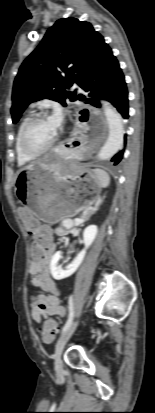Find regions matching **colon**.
<instances>
[{"instance_id": "obj_1", "label": "colon", "mask_w": 155, "mask_h": 413, "mask_svg": "<svg viewBox=\"0 0 155 413\" xmlns=\"http://www.w3.org/2000/svg\"><path fill=\"white\" fill-rule=\"evenodd\" d=\"M34 236L32 245V257L35 260H42L46 254L47 246L45 239L38 233V231H30ZM57 331V324L54 320H47L42 329L41 337L44 342L50 343L53 340L54 334Z\"/></svg>"}]
</instances>
